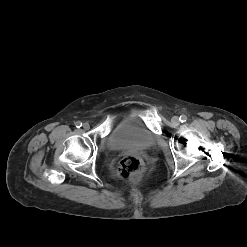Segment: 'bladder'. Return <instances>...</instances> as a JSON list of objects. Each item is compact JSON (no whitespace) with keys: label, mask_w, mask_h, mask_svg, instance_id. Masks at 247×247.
I'll use <instances>...</instances> for the list:
<instances>
[{"label":"bladder","mask_w":247,"mask_h":247,"mask_svg":"<svg viewBox=\"0 0 247 247\" xmlns=\"http://www.w3.org/2000/svg\"><path fill=\"white\" fill-rule=\"evenodd\" d=\"M155 143L154 134L146 128L136 115L124 118L111 132L108 146L114 150H145Z\"/></svg>","instance_id":"1"}]
</instances>
